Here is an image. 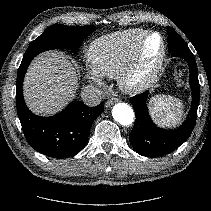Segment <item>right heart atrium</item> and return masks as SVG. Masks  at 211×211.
I'll use <instances>...</instances> for the list:
<instances>
[{
    "mask_svg": "<svg viewBox=\"0 0 211 211\" xmlns=\"http://www.w3.org/2000/svg\"><path fill=\"white\" fill-rule=\"evenodd\" d=\"M85 76L87 77V79L96 84V85H101L102 84V78L101 76L92 68L87 67L85 69Z\"/></svg>",
    "mask_w": 211,
    "mask_h": 211,
    "instance_id": "d8ad5b80",
    "label": "right heart atrium"
}]
</instances>
